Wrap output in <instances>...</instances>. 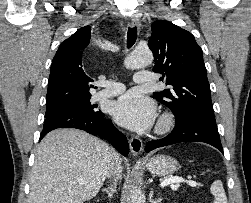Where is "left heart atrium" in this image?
<instances>
[{
	"label": "left heart atrium",
	"mask_w": 251,
	"mask_h": 203,
	"mask_svg": "<svg viewBox=\"0 0 251 203\" xmlns=\"http://www.w3.org/2000/svg\"><path fill=\"white\" fill-rule=\"evenodd\" d=\"M117 121L132 130L142 131L149 128L155 120V106L151 99L138 90L121 96L114 105Z\"/></svg>",
	"instance_id": "39dd6f15"
}]
</instances>
